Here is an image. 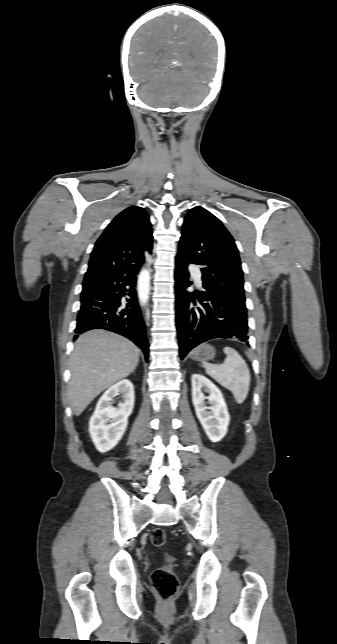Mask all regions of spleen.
<instances>
[{"label": "spleen", "mask_w": 337, "mask_h": 644, "mask_svg": "<svg viewBox=\"0 0 337 644\" xmlns=\"http://www.w3.org/2000/svg\"><path fill=\"white\" fill-rule=\"evenodd\" d=\"M223 352L226 354V359L222 364L203 362V366L206 373L221 386L230 390L235 401L241 404L245 401L249 391V368L245 360L233 348L225 347Z\"/></svg>", "instance_id": "spleen-1"}]
</instances>
